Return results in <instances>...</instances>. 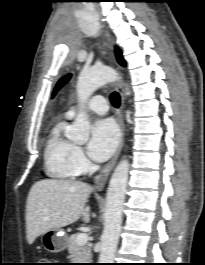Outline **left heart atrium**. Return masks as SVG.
I'll list each match as a JSON object with an SVG mask.
<instances>
[{
  "instance_id": "39dd6f15",
  "label": "left heart atrium",
  "mask_w": 205,
  "mask_h": 265,
  "mask_svg": "<svg viewBox=\"0 0 205 265\" xmlns=\"http://www.w3.org/2000/svg\"><path fill=\"white\" fill-rule=\"evenodd\" d=\"M119 141V130L112 119L98 120L91 133L88 143V154L96 161L108 159L117 147Z\"/></svg>"
}]
</instances>
